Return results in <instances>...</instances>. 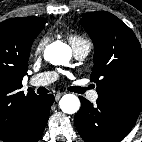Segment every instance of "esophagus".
<instances>
[{
  "mask_svg": "<svg viewBox=\"0 0 142 142\" xmlns=\"http://www.w3.org/2000/svg\"><path fill=\"white\" fill-rule=\"evenodd\" d=\"M62 95H63L62 93H56L55 94V100L58 101L61 98Z\"/></svg>",
  "mask_w": 142,
  "mask_h": 142,
  "instance_id": "34e87169",
  "label": "esophagus"
}]
</instances>
